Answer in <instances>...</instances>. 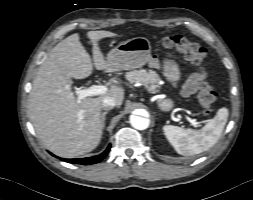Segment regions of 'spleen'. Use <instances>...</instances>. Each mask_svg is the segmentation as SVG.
I'll list each match as a JSON object with an SVG mask.
<instances>
[{
	"label": "spleen",
	"mask_w": 253,
	"mask_h": 200,
	"mask_svg": "<svg viewBox=\"0 0 253 200\" xmlns=\"http://www.w3.org/2000/svg\"><path fill=\"white\" fill-rule=\"evenodd\" d=\"M228 109L220 108L217 114L200 130L165 125L164 134L177 153L190 156L210 149L219 140L227 122Z\"/></svg>",
	"instance_id": "3e777b00"
}]
</instances>
